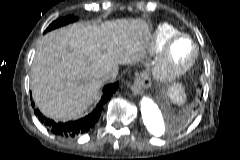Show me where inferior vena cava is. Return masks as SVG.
<instances>
[{"label": "inferior vena cava", "mask_w": 240, "mask_h": 160, "mask_svg": "<svg viewBox=\"0 0 240 160\" xmlns=\"http://www.w3.org/2000/svg\"><path fill=\"white\" fill-rule=\"evenodd\" d=\"M116 77V74L114 72H106L102 75V78L104 80L114 79Z\"/></svg>", "instance_id": "602c4592"}]
</instances>
